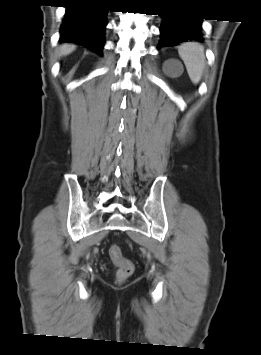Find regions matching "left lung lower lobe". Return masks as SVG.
<instances>
[{
	"mask_svg": "<svg viewBox=\"0 0 261 355\" xmlns=\"http://www.w3.org/2000/svg\"><path fill=\"white\" fill-rule=\"evenodd\" d=\"M159 47L174 46L186 41H202V19L185 16L162 15Z\"/></svg>",
	"mask_w": 261,
	"mask_h": 355,
	"instance_id": "left-lung-lower-lobe-1",
	"label": "left lung lower lobe"
}]
</instances>
